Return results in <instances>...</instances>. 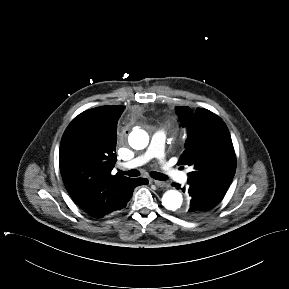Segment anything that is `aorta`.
<instances>
[{
    "mask_svg": "<svg viewBox=\"0 0 289 289\" xmlns=\"http://www.w3.org/2000/svg\"><path fill=\"white\" fill-rule=\"evenodd\" d=\"M129 144L133 149L141 150L147 147L149 136L144 130H137L129 137ZM162 205L170 211H178L183 206L182 194L177 190H168L162 197Z\"/></svg>",
    "mask_w": 289,
    "mask_h": 289,
    "instance_id": "762f6f07",
    "label": "aorta"
}]
</instances>
